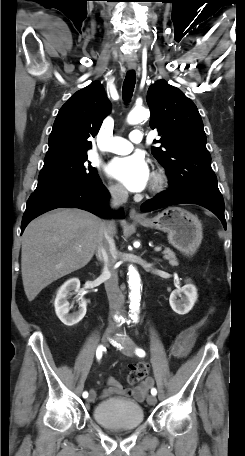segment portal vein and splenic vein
Returning a JSON list of instances; mask_svg holds the SVG:
<instances>
[{
	"label": "portal vein and splenic vein",
	"mask_w": 245,
	"mask_h": 456,
	"mask_svg": "<svg viewBox=\"0 0 245 456\" xmlns=\"http://www.w3.org/2000/svg\"><path fill=\"white\" fill-rule=\"evenodd\" d=\"M161 249H162L161 247H155V248H154V250H155L156 252L161 251Z\"/></svg>",
	"instance_id": "obj_1"
}]
</instances>
